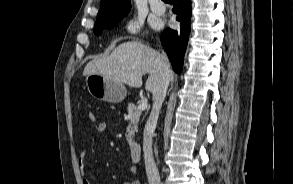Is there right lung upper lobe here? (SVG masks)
I'll return each instance as SVG.
<instances>
[{
	"mask_svg": "<svg viewBox=\"0 0 293 184\" xmlns=\"http://www.w3.org/2000/svg\"><path fill=\"white\" fill-rule=\"evenodd\" d=\"M130 8V0H101L95 24H105L122 19Z\"/></svg>",
	"mask_w": 293,
	"mask_h": 184,
	"instance_id": "right-lung-upper-lobe-1",
	"label": "right lung upper lobe"
}]
</instances>
